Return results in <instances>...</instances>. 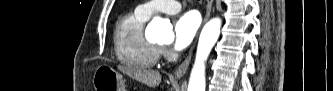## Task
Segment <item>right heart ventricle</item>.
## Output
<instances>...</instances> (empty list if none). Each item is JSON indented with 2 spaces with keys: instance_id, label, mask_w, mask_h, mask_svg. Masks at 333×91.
Here are the masks:
<instances>
[{
  "instance_id": "1",
  "label": "right heart ventricle",
  "mask_w": 333,
  "mask_h": 91,
  "mask_svg": "<svg viewBox=\"0 0 333 91\" xmlns=\"http://www.w3.org/2000/svg\"><path fill=\"white\" fill-rule=\"evenodd\" d=\"M147 16L137 10L122 17L114 32V49L117 59L133 69L153 67L159 58V48L143 34Z\"/></svg>"
}]
</instances>
